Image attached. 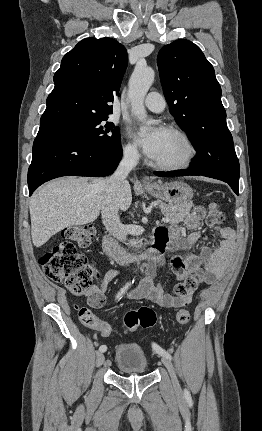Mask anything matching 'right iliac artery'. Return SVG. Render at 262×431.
<instances>
[{
	"label": "right iliac artery",
	"instance_id": "right-iliac-artery-1",
	"mask_svg": "<svg viewBox=\"0 0 262 431\" xmlns=\"http://www.w3.org/2000/svg\"><path fill=\"white\" fill-rule=\"evenodd\" d=\"M129 283L128 284H126L122 289H121V293H124L125 292V290H127L128 289V287H129ZM121 295V294H120ZM120 295H118V297L120 296ZM107 350V347L105 346V345H102V346H100V348H99V351L100 352H105Z\"/></svg>",
	"mask_w": 262,
	"mask_h": 431
}]
</instances>
